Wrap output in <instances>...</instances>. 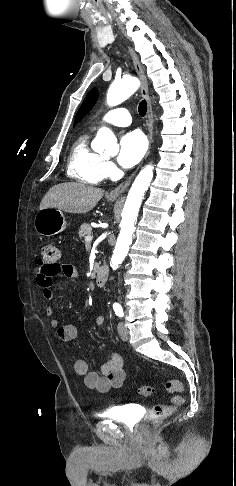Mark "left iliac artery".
<instances>
[{"mask_svg":"<svg viewBox=\"0 0 236 486\" xmlns=\"http://www.w3.org/2000/svg\"><path fill=\"white\" fill-rule=\"evenodd\" d=\"M113 309L115 311L116 316H118L119 318L123 317L124 315L123 309L119 303H114Z\"/></svg>","mask_w":236,"mask_h":486,"instance_id":"44dca946","label":"left iliac artery"}]
</instances>
